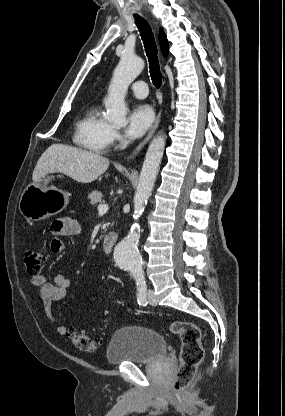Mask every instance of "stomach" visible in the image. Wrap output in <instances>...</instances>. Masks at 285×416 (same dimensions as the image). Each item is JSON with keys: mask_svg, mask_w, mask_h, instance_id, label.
Masks as SVG:
<instances>
[{"mask_svg": "<svg viewBox=\"0 0 285 416\" xmlns=\"http://www.w3.org/2000/svg\"><path fill=\"white\" fill-rule=\"evenodd\" d=\"M55 176H46L36 184L25 188L19 202V210L26 220L38 222L60 214L68 206V194L53 186Z\"/></svg>", "mask_w": 285, "mask_h": 416, "instance_id": "0dacf381", "label": "stomach"}]
</instances>
